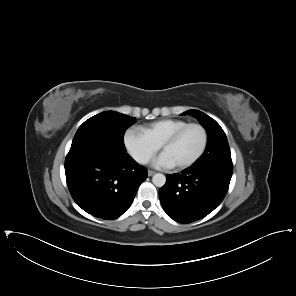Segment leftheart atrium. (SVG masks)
<instances>
[{
    "label": "left heart atrium",
    "instance_id": "left-heart-atrium-1",
    "mask_svg": "<svg viewBox=\"0 0 296 296\" xmlns=\"http://www.w3.org/2000/svg\"><path fill=\"white\" fill-rule=\"evenodd\" d=\"M154 165L158 168H170L175 166V164L165 153H162L154 160Z\"/></svg>",
    "mask_w": 296,
    "mask_h": 296
}]
</instances>
